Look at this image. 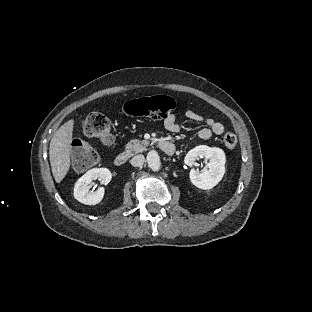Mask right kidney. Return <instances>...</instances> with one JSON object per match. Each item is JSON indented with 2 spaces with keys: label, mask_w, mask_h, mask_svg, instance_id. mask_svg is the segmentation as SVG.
Wrapping results in <instances>:
<instances>
[{
  "label": "right kidney",
  "mask_w": 312,
  "mask_h": 312,
  "mask_svg": "<svg viewBox=\"0 0 312 312\" xmlns=\"http://www.w3.org/2000/svg\"><path fill=\"white\" fill-rule=\"evenodd\" d=\"M107 184L111 180V173L106 168H93L81 176L74 185L73 196L75 200L88 206H94L102 202L104 198L103 188L95 192L89 191V184L95 185L94 180Z\"/></svg>",
  "instance_id": "obj_1"
}]
</instances>
